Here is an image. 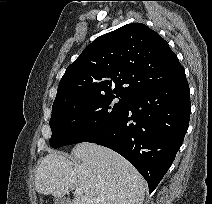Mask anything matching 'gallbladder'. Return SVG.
<instances>
[{
    "mask_svg": "<svg viewBox=\"0 0 212 204\" xmlns=\"http://www.w3.org/2000/svg\"><path fill=\"white\" fill-rule=\"evenodd\" d=\"M55 204H72L69 198L57 197L55 199Z\"/></svg>",
    "mask_w": 212,
    "mask_h": 204,
    "instance_id": "obj_1",
    "label": "gallbladder"
}]
</instances>
